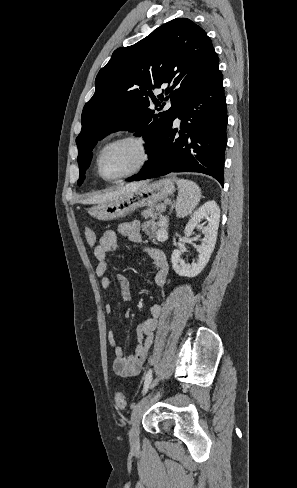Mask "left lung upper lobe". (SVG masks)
I'll return each mask as SVG.
<instances>
[{
	"label": "left lung upper lobe",
	"instance_id": "left-lung-upper-lobe-1",
	"mask_svg": "<svg viewBox=\"0 0 297 488\" xmlns=\"http://www.w3.org/2000/svg\"><path fill=\"white\" fill-rule=\"evenodd\" d=\"M219 72L212 41L187 18L173 19L138 43L115 50L83 108L82 130L76 138L78 184L85 178L98 139L108 133L128 129L143 135L153 159L181 108ZM161 86L165 92L157 99L153 90ZM169 98L171 108L158 113Z\"/></svg>",
	"mask_w": 297,
	"mask_h": 488
}]
</instances>
